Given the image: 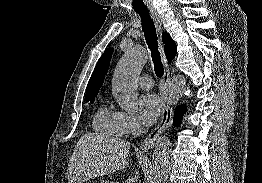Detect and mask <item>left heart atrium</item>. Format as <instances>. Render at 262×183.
<instances>
[{"mask_svg": "<svg viewBox=\"0 0 262 183\" xmlns=\"http://www.w3.org/2000/svg\"><path fill=\"white\" fill-rule=\"evenodd\" d=\"M139 119L146 125L150 126L156 122L161 112V103L157 94L145 93L138 100Z\"/></svg>", "mask_w": 262, "mask_h": 183, "instance_id": "1", "label": "left heart atrium"}]
</instances>
